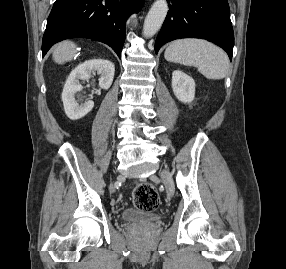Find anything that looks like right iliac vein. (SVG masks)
<instances>
[{
  "instance_id": "1",
  "label": "right iliac vein",
  "mask_w": 286,
  "mask_h": 269,
  "mask_svg": "<svg viewBox=\"0 0 286 269\" xmlns=\"http://www.w3.org/2000/svg\"><path fill=\"white\" fill-rule=\"evenodd\" d=\"M110 190H111V191H113V190H114V189H113V186H110Z\"/></svg>"
}]
</instances>
